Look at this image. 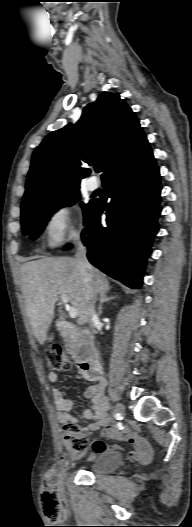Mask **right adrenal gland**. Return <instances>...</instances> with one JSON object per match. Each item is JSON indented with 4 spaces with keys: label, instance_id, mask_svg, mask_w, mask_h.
<instances>
[{
    "label": "right adrenal gland",
    "instance_id": "right-adrenal-gland-1",
    "mask_svg": "<svg viewBox=\"0 0 192 527\" xmlns=\"http://www.w3.org/2000/svg\"><path fill=\"white\" fill-rule=\"evenodd\" d=\"M116 296H111V297H108L106 293H103L100 295V298H99V307H98V314L101 315L102 314V307H103V304L106 303V302H109L113 299H115Z\"/></svg>",
    "mask_w": 192,
    "mask_h": 527
}]
</instances>
